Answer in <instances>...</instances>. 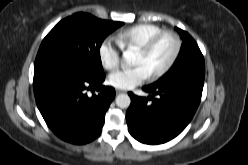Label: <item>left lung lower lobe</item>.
Returning <instances> with one entry per match:
<instances>
[{
  "instance_id": "0a47b994",
  "label": "left lung lower lobe",
  "mask_w": 248,
  "mask_h": 165,
  "mask_svg": "<svg viewBox=\"0 0 248 165\" xmlns=\"http://www.w3.org/2000/svg\"><path fill=\"white\" fill-rule=\"evenodd\" d=\"M203 84L204 78L192 77L181 82L144 86L143 90L150 94L148 98L129 92L131 104L126 120L130 134L150 145L165 143L179 135L194 116Z\"/></svg>"
}]
</instances>
